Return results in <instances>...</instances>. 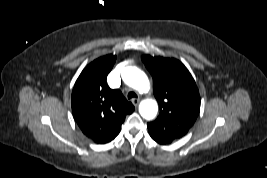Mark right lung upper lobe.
<instances>
[{
    "label": "right lung upper lobe",
    "mask_w": 267,
    "mask_h": 178,
    "mask_svg": "<svg viewBox=\"0 0 267 178\" xmlns=\"http://www.w3.org/2000/svg\"><path fill=\"white\" fill-rule=\"evenodd\" d=\"M116 56L100 57L84 68L71 98L74 119L81 131L95 143L112 141L120 132L127 114L134 111L119 89H111L106 78Z\"/></svg>",
    "instance_id": "obj_1"
}]
</instances>
